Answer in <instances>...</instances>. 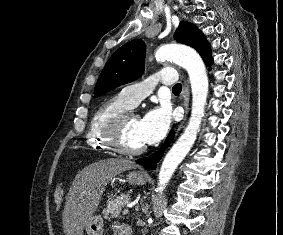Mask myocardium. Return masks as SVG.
<instances>
[{
    "label": "myocardium",
    "instance_id": "f54148a6",
    "mask_svg": "<svg viewBox=\"0 0 283 235\" xmlns=\"http://www.w3.org/2000/svg\"><path fill=\"white\" fill-rule=\"evenodd\" d=\"M133 114L126 110L111 118L103 129V137L108 147L115 153L125 156H136L143 153L146 150V145H142L139 148L129 149L126 148L121 142V133L123 127Z\"/></svg>",
    "mask_w": 283,
    "mask_h": 235
}]
</instances>
